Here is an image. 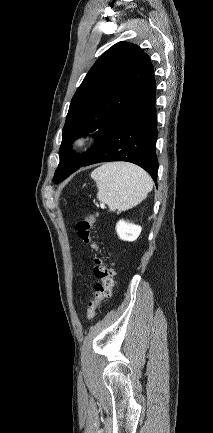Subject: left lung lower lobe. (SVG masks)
I'll return each instance as SVG.
<instances>
[{"label": "left lung lower lobe", "instance_id": "1", "mask_svg": "<svg viewBox=\"0 0 213 433\" xmlns=\"http://www.w3.org/2000/svg\"><path fill=\"white\" fill-rule=\"evenodd\" d=\"M154 73L114 123L99 150L84 165L127 161L146 170L157 184L158 160Z\"/></svg>", "mask_w": 213, "mask_h": 433}]
</instances>
